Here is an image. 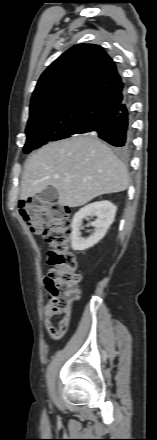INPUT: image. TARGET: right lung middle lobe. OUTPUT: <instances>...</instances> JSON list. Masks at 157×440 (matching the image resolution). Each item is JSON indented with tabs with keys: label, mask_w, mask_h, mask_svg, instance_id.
<instances>
[{
	"label": "right lung middle lobe",
	"mask_w": 157,
	"mask_h": 440,
	"mask_svg": "<svg viewBox=\"0 0 157 440\" xmlns=\"http://www.w3.org/2000/svg\"><path fill=\"white\" fill-rule=\"evenodd\" d=\"M85 124L74 123L72 121H28L26 127L27 140L23 148L25 153L37 149L49 141L64 139L86 133Z\"/></svg>",
	"instance_id": "1"
}]
</instances>
